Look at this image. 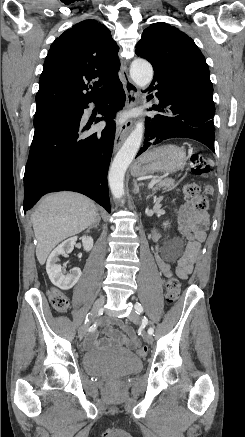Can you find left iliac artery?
I'll return each mask as SVG.
<instances>
[{
  "label": "left iliac artery",
  "mask_w": 245,
  "mask_h": 437,
  "mask_svg": "<svg viewBox=\"0 0 245 437\" xmlns=\"http://www.w3.org/2000/svg\"><path fill=\"white\" fill-rule=\"evenodd\" d=\"M135 310H136V312H137L138 314L142 313V312H143V307H142V305H141L140 303H136V304H135ZM142 322H143V324H146V323L148 322V320L144 317V319L142 320ZM153 332H154L153 327H150V328L148 329V333L152 335Z\"/></svg>",
  "instance_id": "44dca946"
}]
</instances>
